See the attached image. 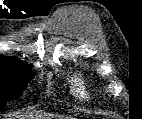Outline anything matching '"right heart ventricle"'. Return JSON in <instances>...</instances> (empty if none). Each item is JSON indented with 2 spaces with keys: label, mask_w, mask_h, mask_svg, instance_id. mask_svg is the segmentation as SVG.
Segmentation results:
<instances>
[{
  "label": "right heart ventricle",
  "mask_w": 142,
  "mask_h": 119,
  "mask_svg": "<svg viewBox=\"0 0 142 119\" xmlns=\"http://www.w3.org/2000/svg\"><path fill=\"white\" fill-rule=\"evenodd\" d=\"M73 92L77 98L82 101H86L89 99V92L87 86L80 78H73Z\"/></svg>",
  "instance_id": "obj_1"
}]
</instances>
